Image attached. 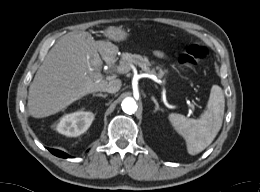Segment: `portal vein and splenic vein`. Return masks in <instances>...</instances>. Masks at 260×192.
<instances>
[{"label": "portal vein and splenic vein", "mask_w": 260, "mask_h": 192, "mask_svg": "<svg viewBox=\"0 0 260 192\" xmlns=\"http://www.w3.org/2000/svg\"><path fill=\"white\" fill-rule=\"evenodd\" d=\"M117 73L119 74H124L130 71V67L128 65L125 64H120L119 66H117L116 69Z\"/></svg>", "instance_id": "18ae733b"}]
</instances>
